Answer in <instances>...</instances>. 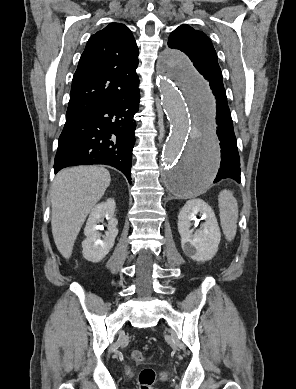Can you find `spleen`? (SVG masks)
<instances>
[{"instance_id":"spleen-1","label":"spleen","mask_w":296,"mask_h":389,"mask_svg":"<svg viewBox=\"0 0 296 389\" xmlns=\"http://www.w3.org/2000/svg\"><path fill=\"white\" fill-rule=\"evenodd\" d=\"M220 223L227 240L234 239L237 231L238 205L232 192L223 190L218 196Z\"/></svg>"}]
</instances>
